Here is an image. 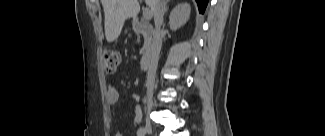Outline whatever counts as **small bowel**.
<instances>
[{"label":"small bowel","mask_w":325,"mask_h":136,"mask_svg":"<svg viewBox=\"0 0 325 136\" xmlns=\"http://www.w3.org/2000/svg\"><path fill=\"white\" fill-rule=\"evenodd\" d=\"M119 99V92L114 86H109L106 90V102L109 105L115 104ZM133 99L136 102L140 101V96L135 94L133 95ZM133 116H134V123L138 124L142 120V110L138 105L133 107ZM116 136H122L121 134H116Z\"/></svg>","instance_id":"1"}]
</instances>
